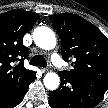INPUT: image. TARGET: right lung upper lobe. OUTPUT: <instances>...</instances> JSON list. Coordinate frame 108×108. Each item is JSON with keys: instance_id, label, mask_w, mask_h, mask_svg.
Listing matches in <instances>:
<instances>
[{"instance_id": "1", "label": "right lung upper lobe", "mask_w": 108, "mask_h": 108, "mask_svg": "<svg viewBox=\"0 0 108 108\" xmlns=\"http://www.w3.org/2000/svg\"><path fill=\"white\" fill-rule=\"evenodd\" d=\"M38 18L23 10L0 14V90L13 88L35 73L24 67L28 50L22 40Z\"/></svg>"}]
</instances>
